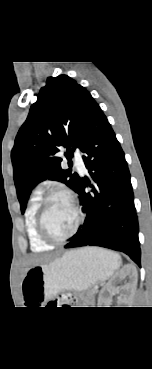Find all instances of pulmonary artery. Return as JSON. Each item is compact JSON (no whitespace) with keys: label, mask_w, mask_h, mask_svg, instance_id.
I'll return each mask as SVG.
<instances>
[{"label":"pulmonary artery","mask_w":152,"mask_h":369,"mask_svg":"<svg viewBox=\"0 0 152 369\" xmlns=\"http://www.w3.org/2000/svg\"><path fill=\"white\" fill-rule=\"evenodd\" d=\"M74 163H75V166L77 167V169L80 172L83 173V172L86 171V167H85L83 158L81 157V155L79 153L74 154Z\"/></svg>","instance_id":"1"}]
</instances>
